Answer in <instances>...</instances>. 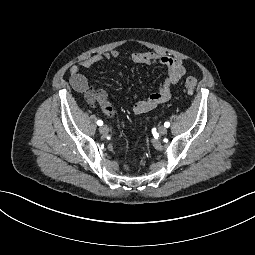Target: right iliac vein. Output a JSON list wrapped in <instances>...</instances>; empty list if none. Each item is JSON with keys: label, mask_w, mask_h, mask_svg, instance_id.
Listing matches in <instances>:
<instances>
[{"label": "right iliac vein", "mask_w": 255, "mask_h": 255, "mask_svg": "<svg viewBox=\"0 0 255 255\" xmlns=\"http://www.w3.org/2000/svg\"><path fill=\"white\" fill-rule=\"evenodd\" d=\"M99 131L102 133V134H107L109 132V127L107 125H102L100 128H99Z\"/></svg>", "instance_id": "63e3f726"}]
</instances>
